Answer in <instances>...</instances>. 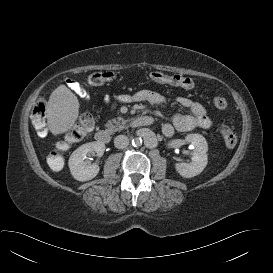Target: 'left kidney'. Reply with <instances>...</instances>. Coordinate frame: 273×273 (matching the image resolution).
Segmentation results:
<instances>
[{"label":"left kidney","instance_id":"5707ae66","mask_svg":"<svg viewBox=\"0 0 273 273\" xmlns=\"http://www.w3.org/2000/svg\"><path fill=\"white\" fill-rule=\"evenodd\" d=\"M185 141L194 146L191 152V160L188 163H176V171L184 178H191L200 174L207 165L208 145L206 139L200 134H189Z\"/></svg>","mask_w":273,"mask_h":273}]
</instances>
